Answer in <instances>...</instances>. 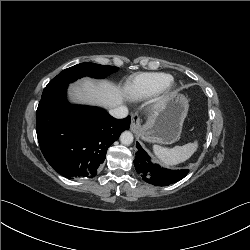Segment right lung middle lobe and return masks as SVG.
Returning <instances> with one entry per match:
<instances>
[{
	"label": "right lung middle lobe",
	"instance_id": "obj_1",
	"mask_svg": "<svg viewBox=\"0 0 250 250\" xmlns=\"http://www.w3.org/2000/svg\"><path fill=\"white\" fill-rule=\"evenodd\" d=\"M117 70V67L99 65L95 63H81L72 66L60 72L49 82V84L43 90L42 98L52 94L58 88L67 86L69 83L83 76L87 75L93 78H104L105 76Z\"/></svg>",
	"mask_w": 250,
	"mask_h": 250
}]
</instances>
